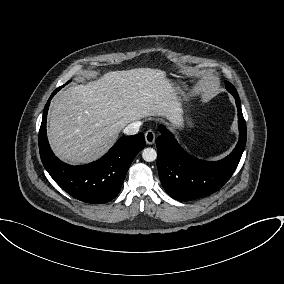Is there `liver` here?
Here are the masks:
<instances>
[{
    "label": "liver",
    "instance_id": "6515ba94",
    "mask_svg": "<svg viewBox=\"0 0 284 284\" xmlns=\"http://www.w3.org/2000/svg\"><path fill=\"white\" fill-rule=\"evenodd\" d=\"M165 117L182 125L175 85L151 68L111 71L87 84L71 86L50 106L47 135L54 153L72 164L99 159L129 123Z\"/></svg>",
    "mask_w": 284,
    "mask_h": 284
}]
</instances>
